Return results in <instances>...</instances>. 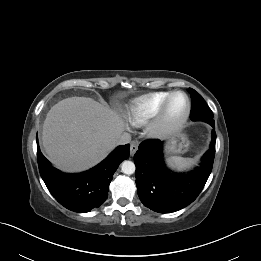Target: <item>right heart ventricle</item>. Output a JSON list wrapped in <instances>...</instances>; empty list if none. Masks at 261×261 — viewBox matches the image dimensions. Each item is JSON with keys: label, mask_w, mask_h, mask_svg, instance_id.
<instances>
[{"label": "right heart ventricle", "mask_w": 261, "mask_h": 261, "mask_svg": "<svg viewBox=\"0 0 261 261\" xmlns=\"http://www.w3.org/2000/svg\"><path fill=\"white\" fill-rule=\"evenodd\" d=\"M170 94L171 92H153L135 99L127 112L129 122L135 127L147 124L158 114Z\"/></svg>", "instance_id": "e07e8e85"}]
</instances>
